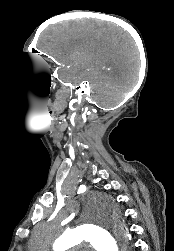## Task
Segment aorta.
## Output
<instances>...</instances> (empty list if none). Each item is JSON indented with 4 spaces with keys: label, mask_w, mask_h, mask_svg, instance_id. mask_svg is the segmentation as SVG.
<instances>
[{
    "label": "aorta",
    "mask_w": 174,
    "mask_h": 251,
    "mask_svg": "<svg viewBox=\"0 0 174 251\" xmlns=\"http://www.w3.org/2000/svg\"><path fill=\"white\" fill-rule=\"evenodd\" d=\"M51 234L54 229H48ZM128 232L121 222L117 224L102 215L96 203L91 202L85 211L84 222L63 232L53 243L52 250L65 251L82 242L89 243L97 251H120L126 245Z\"/></svg>",
    "instance_id": "obj_1"
}]
</instances>
